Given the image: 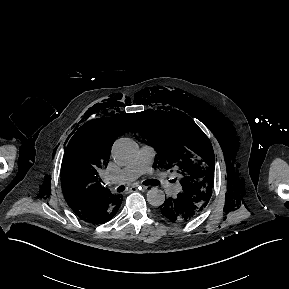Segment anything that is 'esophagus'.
I'll use <instances>...</instances> for the list:
<instances>
[{
    "label": "esophagus",
    "mask_w": 289,
    "mask_h": 289,
    "mask_svg": "<svg viewBox=\"0 0 289 289\" xmlns=\"http://www.w3.org/2000/svg\"><path fill=\"white\" fill-rule=\"evenodd\" d=\"M138 187H140L142 190H148L150 188V186H144V185H134L132 186V188L137 189Z\"/></svg>",
    "instance_id": "1"
}]
</instances>
